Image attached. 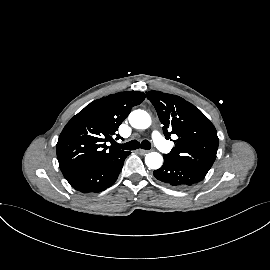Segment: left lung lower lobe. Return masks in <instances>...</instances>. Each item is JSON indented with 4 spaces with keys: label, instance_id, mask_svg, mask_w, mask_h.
Listing matches in <instances>:
<instances>
[{
    "label": "left lung lower lobe",
    "instance_id": "obj_1",
    "mask_svg": "<svg viewBox=\"0 0 270 270\" xmlns=\"http://www.w3.org/2000/svg\"><path fill=\"white\" fill-rule=\"evenodd\" d=\"M161 168L153 172L156 179L176 188H188L205 178L204 173L164 156Z\"/></svg>",
    "mask_w": 270,
    "mask_h": 270
}]
</instances>
